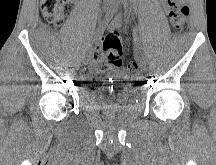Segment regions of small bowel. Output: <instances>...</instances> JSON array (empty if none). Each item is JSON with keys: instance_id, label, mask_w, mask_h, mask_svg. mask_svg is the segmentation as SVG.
<instances>
[{"instance_id": "c3829d8e", "label": "small bowel", "mask_w": 216, "mask_h": 165, "mask_svg": "<svg viewBox=\"0 0 216 165\" xmlns=\"http://www.w3.org/2000/svg\"><path fill=\"white\" fill-rule=\"evenodd\" d=\"M162 2H163L166 6H169V0H162ZM113 26H116V23H114ZM100 51H101L100 49H97V50L94 52L93 58H94L95 61H96L95 56H96V54H99Z\"/></svg>"}]
</instances>
